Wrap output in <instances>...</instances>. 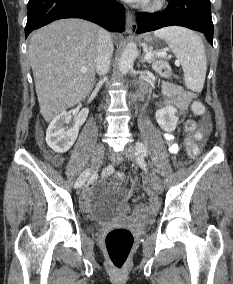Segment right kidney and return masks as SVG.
Wrapping results in <instances>:
<instances>
[{"mask_svg":"<svg viewBox=\"0 0 233 284\" xmlns=\"http://www.w3.org/2000/svg\"><path fill=\"white\" fill-rule=\"evenodd\" d=\"M88 108L82 109L75 115L73 126L65 130L64 125L69 123L70 116L66 111L59 113L50 123L46 131L47 145L57 153L67 152L77 139L79 128L88 116Z\"/></svg>","mask_w":233,"mask_h":284,"instance_id":"right-kidney-1","label":"right kidney"}]
</instances>
